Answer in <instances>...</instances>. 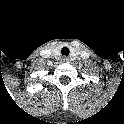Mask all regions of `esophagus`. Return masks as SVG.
<instances>
[{"instance_id": "1", "label": "esophagus", "mask_w": 124, "mask_h": 124, "mask_svg": "<svg viewBox=\"0 0 124 124\" xmlns=\"http://www.w3.org/2000/svg\"><path fill=\"white\" fill-rule=\"evenodd\" d=\"M62 61L63 62H69V58L65 56V57L62 58Z\"/></svg>"}]
</instances>
